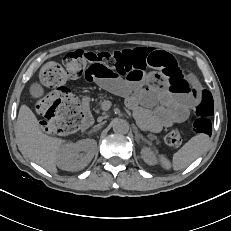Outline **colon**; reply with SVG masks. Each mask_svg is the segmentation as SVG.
Here are the masks:
<instances>
[{"label": "colon", "mask_w": 231, "mask_h": 231, "mask_svg": "<svg viewBox=\"0 0 231 231\" xmlns=\"http://www.w3.org/2000/svg\"><path fill=\"white\" fill-rule=\"evenodd\" d=\"M62 62V65L53 61L47 62L40 69L42 84L53 91L37 101L36 110L45 117L43 129L50 135L67 134L81 127L80 107L65 84L70 78L83 76L91 65H103L127 76L148 69L160 71L167 78L171 91L188 94L193 98L194 131L205 134L210 129L213 116L211 93L191 85L186 72L176 59L166 52H155L151 48L103 52L76 50L67 53ZM165 142L169 146H180V131H169Z\"/></svg>", "instance_id": "colon-1"}]
</instances>
